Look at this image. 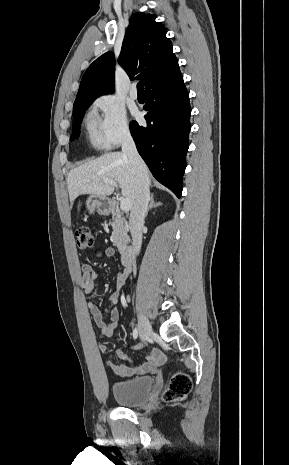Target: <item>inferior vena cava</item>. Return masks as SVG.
Segmentation results:
<instances>
[{
  "label": "inferior vena cava",
  "instance_id": "1",
  "mask_svg": "<svg viewBox=\"0 0 289 465\" xmlns=\"http://www.w3.org/2000/svg\"><path fill=\"white\" fill-rule=\"evenodd\" d=\"M122 152L128 157L131 170L136 174L137 178V199L131 210L129 218V228L133 241V252L137 255L141 249L142 228L150 200V192L148 182L144 176L146 165L140 157L129 131H126L123 134Z\"/></svg>",
  "mask_w": 289,
  "mask_h": 465
}]
</instances>
